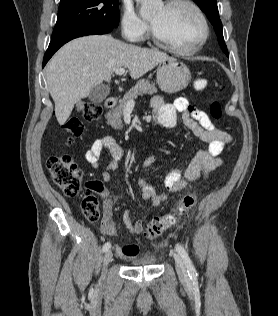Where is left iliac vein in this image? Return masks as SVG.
Instances as JSON below:
<instances>
[{"label": "left iliac vein", "instance_id": "obj_1", "mask_svg": "<svg viewBox=\"0 0 278 316\" xmlns=\"http://www.w3.org/2000/svg\"><path fill=\"white\" fill-rule=\"evenodd\" d=\"M173 256H174L176 270H177L178 274L181 277L186 278L187 277V270H186V267H185V264H184L182 258L180 257L179 254H174Z\"/></svg>", "mask_w": 278, "mask_h": 316}]
</instances>
